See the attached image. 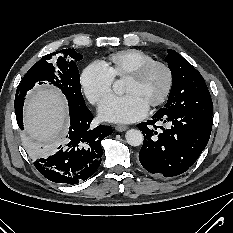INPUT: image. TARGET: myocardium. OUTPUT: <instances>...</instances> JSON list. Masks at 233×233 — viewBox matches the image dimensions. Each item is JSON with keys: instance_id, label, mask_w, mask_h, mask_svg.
<instances>
[{"instance_id": "obj_1", "label": "myocardium", "mask_w": 233, "mask_h": 233, "mask_svg": "<svg viewBox=\"0 0 233 233\" xmlns=\"http://www.w3.org/2000/svg\"><path fill=\"white\" fill-rule=\"evenodd\" d=\"M155 67H159L164 71L166 75V83L162 94L148 106L149 108H156L162 105L168 99L174 83V75L171 67L163 61L153 60L151 62L138 66L125 77L126 79L137 81L144 77L148 71Z\"/></svg>"}]
</instances>
